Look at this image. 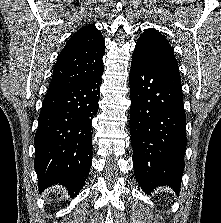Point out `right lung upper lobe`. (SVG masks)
Segmentation results:
<instances>
[{
    "label": "right lung upper lobe",
    "instance_id": "right-lung-upper-lobe-1",
    "mask_svg": "<svg viewBox=\"0 0 221 223\" xmlns=\"http://www.w3.org/2000/svg\"><path fill=\"white\" fill-rule=\"evenodd\" d=\"M105 42L95 25L74 33L59 54L47 94L75 86L104 70Z\"/></svg>",
    "mask_w": 221,
    "mask_h": 223
}]
</instances>
